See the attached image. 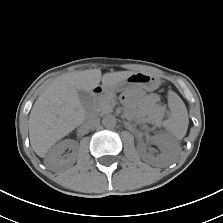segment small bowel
Segmentation results:
<instances>
[{
	"label": "small bowel",
	"mask_w": 223,
	"mask_h": 223,
	"mask_svg": "<svg viewBox=\"0 0 223 223\" xmlns=\"http://www.w3.org/2000/svg\"><path fill=\"white\" fill-rule=\"evenodd\" d=\"M145 104L150 108L152 118L157 120L162 109L158 102V98L154 95H148L145 97Z\"/></svg>",
	"instance_id": "c3829d8e"
}]
</instances>
